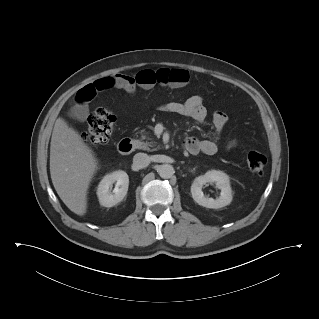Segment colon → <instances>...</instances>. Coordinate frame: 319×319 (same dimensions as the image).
Listing matches in <instances>:
<instances>
[{
	"instance_id": "obj_1",
	"label": "colon",
	"mask_w": 319,
	"mask_h": 319,
	"mask_svg": "<svg viewBox=\"0 0 319 319\" xmlns=\"http://www.w3.org/2000/svg\"><path fill=\"white\" fill-rule=\"evenodd\" d=\"M116 118L114 114L104 108L96 110L89 118L83 140L88 146L106 144L114 130ZM266 156L256 150L247 153V165L250 171L261 173L266 166Z\"/></svg>"
}]
</instances>
